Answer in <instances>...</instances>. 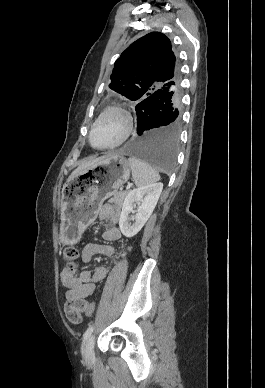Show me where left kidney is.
<instances>
[{"label":"left kidney","mask_w":265,"mask_h":388,"mask_svg":"<svg viewBox=\"0 0 265 388\" xmlns=\"http://www.w3.org/2000/svg\"><path fill=\"white\" fill-rule=\"evenodd\" d=\"M162 190L163 184H149V186H141V188H136V190H131L126 194L119 220L123 236L133 238L140 232L148 218H150ZM133 204H137V210H133ZM131 212L134 214V224H129V214Z\"/></svg>","instance_id":"5707ae66"}]
</instances>
